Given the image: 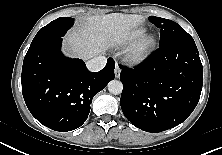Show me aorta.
I'll list each match as a JSON object with an SVG mask.
<instances>
[{"instance_id":"obj_1","label":"aorta","mask_w":222,"mask_h":155,"mask_svg":"<svg viewBox=\"0 0 222 155\" xmlns=\"http://www.w3.org/2000/svg\"><path fill=\"white\" fill-rule=\"evenodd\" d=\"M122 90H123V84L121 81L119 80H112L108 83V91L111 93V94H114V95H119L122 93Z\"/></svg>"}]
</instances>
